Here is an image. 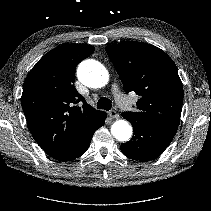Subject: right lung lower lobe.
Here are the masks:
<instances>
[{
	"mask_svg": "<svg viewBox=\"0 0 211 211\" xmlns=\"http://www.w3.org/2000/svg\"><path fill=\"white\" fill-rule=\"evenodd\" d=\"M105 119L106 113L87 128L70 146L52 157L59 161H70L84 154L90 145L94 132L104 125Z\"/></svg>",
	"mask_w": 211,
	"mask_h": 211,
	"instance_id": "1",
	"label": "right lung lower lobe"
}]
</instances>
